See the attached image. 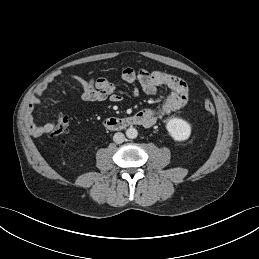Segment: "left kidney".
<instances>
[{
    "label": "left kidney",
    "instance_id": "1",
    "mask_svg": "<svg viewBox=\"0 0 259 259\" xmlns=\"http://www.w3.org/2000/svg\"><path fill=\"white\" fill-rule=\"evenodd\" d=\"M170 136L178 142L186 141L191 135V125L183 119L173 118L166 124Z\"/></svg>",
    "mask_w": 259,
    "mask_h": 259
}]
</instances>
